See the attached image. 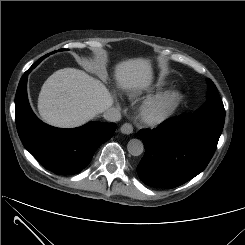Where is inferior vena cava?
Returning a JSON list of instances; mask_svg holds the SVG:
<instances>
[{
    "instance_id": "602c4592",
    "label": "inferior vena cava",
    "mask_w": 245,
    "mask_h": 245,
    "mask_svg": "<svg viewBox=\"0 0 245 245\" xmlns=\"http://www.w3.org/2000/svg\"><path fill=\"white\" fill-rule=\"evenodd\" d=\"M103 117L107 121L117 122L121 119V113L119 109L115 107H111L105 111V113L103 114Z\"/></svg>"
}]
</instances>
